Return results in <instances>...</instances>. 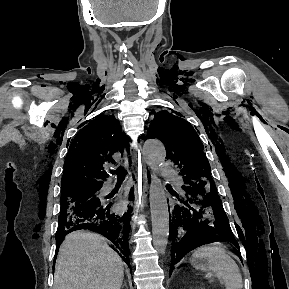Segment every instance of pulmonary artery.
Listing matches in <instances>:
<instances>
[{
	"mask_svg": "<svg viewBox=\"0 0 289 289\" xmlns=\"http://www.w3.org/2000/svg\"><path fill=\"white\" fill-rule=\"evenodd\" d=\"M160 169H161V174L164 178L166 179L171 178V179H174L176 183H180L177 179H175L176 172L173 171L168 164H165V163L161 164ZM111 188H112V185L108 184L104 187V191H109Z\"/></svg>",
	"mask_w": 289,
	"mask_h": 289,
	"instance_id": "e3ab8cb5",
	"label": "pulmonary artery"
}]
</instances>
